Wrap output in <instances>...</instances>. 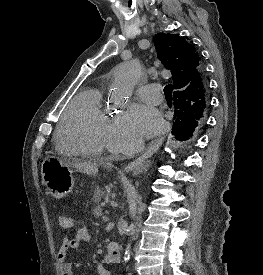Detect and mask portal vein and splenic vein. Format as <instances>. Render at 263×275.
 Wrapping results in <instances>:
<instances>
[{
	"label": "portal vein and splenic vein",
	"instance_id": "18ae733b",
	"mask_svg": "<svg viewBox=\"0 0 263 275\" xmlns=\"http://www.w3.org/2000/svg\"><path fill=\"white\" fill-rule=\"evenodd\" d=\"M102 219H103L104 221H108L107 216H103Z\"/></svg>",
	"mask_w": 263,
	"mask_h": 275
}]
</instances>
